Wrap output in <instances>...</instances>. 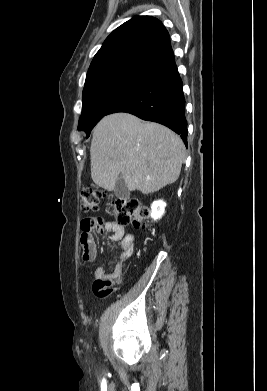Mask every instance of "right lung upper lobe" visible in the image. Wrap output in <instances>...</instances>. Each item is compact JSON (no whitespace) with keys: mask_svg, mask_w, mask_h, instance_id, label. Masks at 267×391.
<instances>
[{"mask_svg":"<svg viewBox=\"0 0 267 391\" xmlns=\"http://www.w3.org/2000/svg\"><path fill=\"white\" fill-rule=\"evenodd\" d=\"M175 62L168 31L151 16H135L115 29L94 56L86 82L114 72L152 75Z\"/></svg>","mask_w":267,"mask_h":391,"instance_id":"right-lung-upper-lobe-1","label":"right lung upper lobe"}]
</instances>
